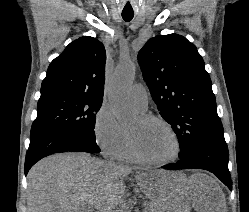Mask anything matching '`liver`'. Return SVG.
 Masks as SVG:
<instances>
[{"label": "liver", "mask_w": 249, "mask_h": 212, "mask_svg": "<svg viewBox=\"0 0 249 212\" xmlns=\"http://www.w3.org/2000/svg\"><path fill=\"white\" fill-rule=\"evenodd\" d=\"M134 168L95 160L90 154H54L37 162L27 174L29 212H115ZM136 184L159 212L177 202V212H227L226 198L207 174H174L166 170L138 172Z\"/></svg>", "instance_id": "obj_1"}]
</instances>
